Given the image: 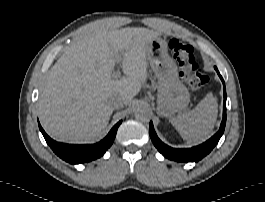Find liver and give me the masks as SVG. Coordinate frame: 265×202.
Masks as SVG:
<instances>
[{
  "label": "liver",
  "mask_w": 265,
  "mask_h": 202,
  "mask_svg": "<svg viewBox=\"0 0 265 202\" xmlns=\"http://www.w3.org/2000/svg\"><path fill=\"white\" fill-rule=\"evenodd\" d=\"M159 35L143 27L107 30L96 25L69 46L49 71L38 100L48 135L74 143L99 137L113 112L108 98L117 94L127 104L147 81L146 47ZM119 52L126 77L114 79Z\"/></svg>",
  "instance_id": "obj_1"
}]
</instances>
